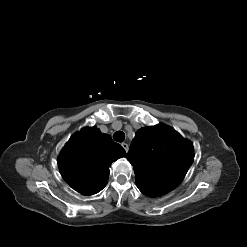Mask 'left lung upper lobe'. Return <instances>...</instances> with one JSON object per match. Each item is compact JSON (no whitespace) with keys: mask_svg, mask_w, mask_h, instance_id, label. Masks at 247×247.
<instances>
[{"mask_svg":"<svg viewBox=\"0 0 247 247\" xmlns=\"http://www.w3.org/2000/svg\"><path fill=\"white\" fill-rule=\"evenodd\" d=\"M127 158L134 167L138 189L158 197L182 182L193 163L194 148L173 128L158 124L135 133Z\"/></svg>","mask_w":247,"mask_h":247,"instance_id":"obj_1","label":"left lung upper lobe"}]
</instances>
